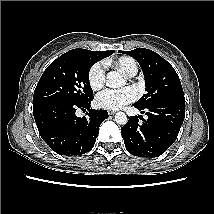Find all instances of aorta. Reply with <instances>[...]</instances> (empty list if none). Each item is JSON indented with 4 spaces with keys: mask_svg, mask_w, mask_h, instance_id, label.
<instances>
[{
    "mask_svg": "<svg viewBox=\"0 0 214 214\" xmlns=\"http://www.w3.org/2000/svg\"><path fill=\"white\" fill-rule=\"evenodd\" d=\"M125 83L126 81L120 73L116 71H111L108 73L106 83L108 87H121L125 85ZM115 121L120 125H125L128 121L127 115L124 112H118L115 115Z\"/></svg>",
    "mask_w": 214,
    "mask_h": 214,
    "instance_id": "aorta-1",
    "label": "aorta"
}]
</instances>
